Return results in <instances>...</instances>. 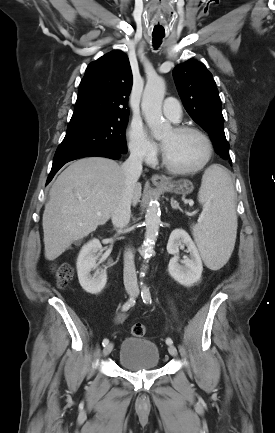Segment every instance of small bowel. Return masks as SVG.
<instances>
[{
  "label": "small bowel",
  "instance_id": "1",
  "mask_svg": "<svg viewBox=\"0 0 275 433\" xmlns=\"http://www.w3.org/2000/svg\"><path fill=\"white\" fill-rule=\"evenodd\" d=\"M126 318V313L124 312H119L117 313V315L115 316V323L116 324H121Z\"/></svg>",
  "mask_w": 275,
  "mask_h": 433
}]
</instances>
